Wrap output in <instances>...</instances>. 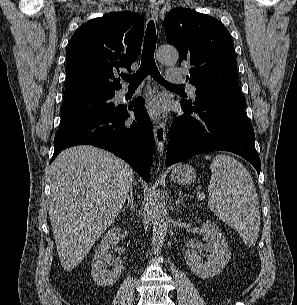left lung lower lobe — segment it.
Returning <instances> with one entry per match:
<instances>
[{
    "instance_id": "1",
    "label": "left lung lower lobe",
    "mask_w": 297,
    "mask_h": 305,
    "mask_svg": "<svg viewBox=\"0 0 297 305\" xmlns=\"http://www.w3.org/2000/svg\"><path fill=\"white\" fill-rule=\"evenodd\" d=\"M180 103L185 114L175 118L171 125L167 166L196 154L222 150L240 155L260 173L254 130L247 119L238 83L196 95L193 103L188 100Z\"/></svg>"
}]
</instances>
